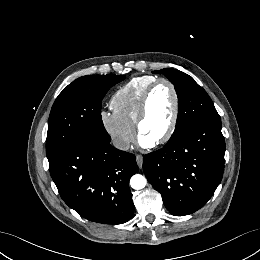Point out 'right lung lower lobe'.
Masks as SVG:
<instances>
[{
  "label": "right lung lower lobe",
  "instance_id": "1",
  "mask_svg": "<svg viewBox=\"0 0 260 260\" xmlns=\"http://www.w3.org/2000/svg\"><path fill=\"white\" fill-rule=\"evenodd\" d=\"M49 168L64 202L85 219L122 224L131 218L128 182L138 170L133 154L85 140L64 149L49 161Z\"/></svg>",
  "mask_w": 260,
  "mask_h": 260
}]
</instances>
